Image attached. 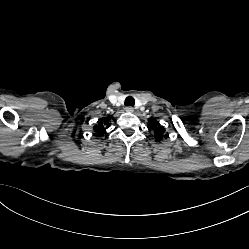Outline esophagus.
I'll return each instance as SVG.
<instances>
[{
	"mask_svg": "<svg viewBox=\"0 0 249 249\" xmlns=\"http://www.w3.org/2000/svg\"><path fill=\"white\" fill-rule=\"evenodd\" d=\"M125 110L129 113H132L134 111V108L132 106L125 107Z\"/></svg>",
	"mask_w": 249,
	"mask_h": 249,
	"instance_id": "esophagus-1",
	"label": "esophagus"
}]
</instances>
